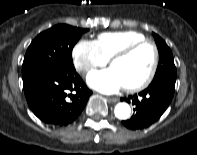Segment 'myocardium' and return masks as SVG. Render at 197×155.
Listing matches in <instances>:
<instances>
[{
  "instance_id": "1",
  "label": "myocardium",
  "mask_w": 197,
  "mask_h": 155,
  "mask_svg": "<svg viewBox=\"0 0 197 155\" xmlns=\"http://www.w3.org/2000/svg\"><path fill=\"white\" fill-rule=\"evenodd\" d=\"M146 45L150 46L153 50V63H152L151 69H150L149 73L147 74V76L138 84L131 85V86H124V89L127 92H131V93L139 92V91L147 88L151 84V82L153 81V79L156 75L158 65H159L158 47L153 41L145 39V40L134 42V43L124 46L123 48H121L120 50L115 52L110 57V65L112 66L114 61L124 58V57H127L130 54H132L134 51H136L137 49H139L143 46H146Z\"/></svg>"
}]
</instances>
